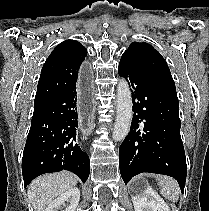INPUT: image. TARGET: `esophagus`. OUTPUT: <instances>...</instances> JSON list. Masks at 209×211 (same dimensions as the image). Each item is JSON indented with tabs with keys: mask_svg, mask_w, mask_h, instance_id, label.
<instances>
[{
	"mask_svg": "<svg viewBox=\"0 0 209 211\" xmlns=\"http://www.w3.org/2000/svg\"><path fill=\"white\" fill-rule=\"evenodd\" d=\"M93 67L91 64H82L80 67V74H77L79 79V93H77L76 106L78 109L79 130L82 133H91L94 130V121H97L95 116L94 104V78L91 77Z\"/></svg>",
	"mask_w": 209,
	"mask_h": 211,
	"instance_id": "34e87169",
	"label": "esophagus"
}]
</instances>
